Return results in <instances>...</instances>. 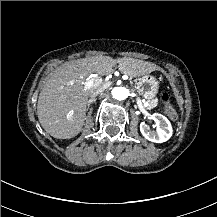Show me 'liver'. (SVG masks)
I'll return each mask as SVG.
<instances>
[{"mask_svg":"<svg viewBox=\"0 0 217 217\" xmlns=\"http://www.w3.org/2000/svg\"><path fill=\"white\" fill-rule=\"evenodd\" d=\"M117 64L119 71L131 78L162 70L151 62L131 57L93 56L61 65L47 75L38 97L36 115L46 133L56 139L77 136L86 118L90 89L87 78L93 73L107 76Z\"/></svg>","mask_w":217,"mask_h":217,"instance_id":"1","label":"liver"}]
</instances>
